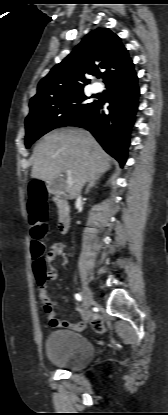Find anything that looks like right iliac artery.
Instances as JSON below:
<instances>
[{
  "label": "right iliac artery",
  "instance_id": "obj_1",
  "mask_svg": "<svg viewBox=\"0 0 168 415\" xmlns=\"http://www.w3.org/2000/svg\"><path fill=\"white\" fill-rule=\"evenodd\" d=\"M75 298L78 300V301H82V296L80 295V294H75Z\"/></svg>",
  "mask_w": 168,
  "mask_h": 415
}]
</instances>
